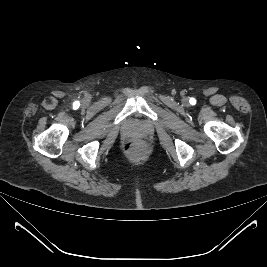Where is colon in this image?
Wrapping results in <instances>:
<instances>
[{
	"label": "colon",
	"mask_w": 267,
	"mask_h": 267,
	"mask_svg": "<svg viewBox=\"0 0 267 267\" xmlns=\"http://www.w3.org/2000/svg\"><path fill=\"white\" fill-rule=\"evenodd\" d=\"M125 149L129 152V153H133V154H143L146 152V146L142 141L139 140H132L129 141L126 146Z\"/></svg>",
	"instance_id": "5ec220e1"
}]
</instances>
